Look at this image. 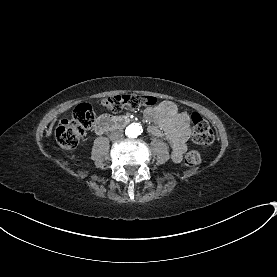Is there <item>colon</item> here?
<instances>
[{
    "label": "colon",
    "instance_id": "colon-1",
    "mask_svg": "<svg viewBox=\"0 0 277 277\" xmlns=\"http://www.w3.org/2000/svg\"><path fill=\"white\" fill-rule=\"evenodd\" d=\"M156 100L149 95H115L101 100V106L109 111L113 108H139L154 105ZM80 107L71 117L60 122L56 130V139L67 150L74 149L79 144L84 133L92 126L95 119L94 111L89 108L88 99H81ZM191 134L195 142L209 144L214 141V132L209 123L201 116L195 115L191 119ZM186 165L197 166L201 162V154L196 151L189 152L184 159Z\"/></svg>",
    "mask_w": 277,
    "mask_h": 277
}]
</instances>
